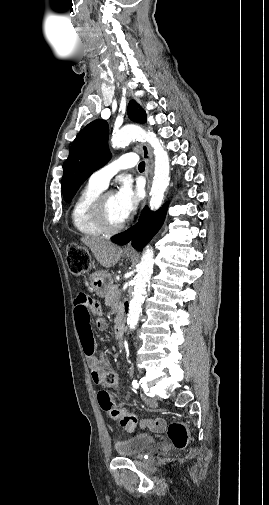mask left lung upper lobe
<instances>
[{
  "instance_id": "5c2ea615",
  "label": "left lung upper lobe",
  "mask_w": 269,
  "mask_h": 505,
  "mask_svg": "<svg viewBox=\"0 0 269 505\" xmlns=\"http://www.w3.org/2000/svg\"><path fill=\"white\" fill-rule=\"evenodd\" d=\"M132 100L128 105V116L134 122L145 123L146 113ZM108 149V124L97 119L85 126L73 141L64 165L62 192L64 200L71 202L80 185L110 159Z\"/></svg>"
}]
</instances>
